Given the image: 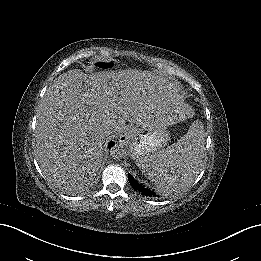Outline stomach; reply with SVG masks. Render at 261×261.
Instances as JSON below:
<instances>
[{
    "label": "stomach",
    "mask_w": 261,
    "mask_h": 261,
    "mask_svg": "<svg viewBox=\"0 0 261 261\" xmlns=\"http://www.w3.org/2000/svg\"><path fill=\"white\" fill-rule=\"evenodd\" d=\"M130 138V156L136 162L156 153L167 139L162 118L150 116L145 123L132 129Z\"/></svg>",
    "instance_id": "0dacf381"
}]
</instances>
